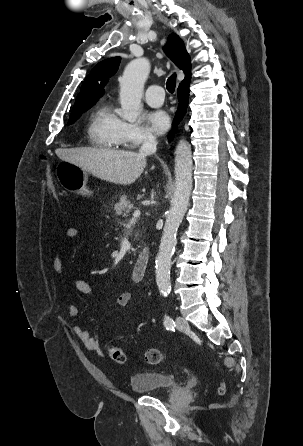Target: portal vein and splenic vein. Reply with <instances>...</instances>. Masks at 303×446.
<instances>
[{
	"label": "portal vein and splenic vein",
	"mask_w": 303,
	"mask_h": 446,
	"mask_svg": "<svg viewBox=\"0 0 303 446\" xmlns=\"http://www.w3.org/2000/svg\"><path fill=\"white\" fill-rule=\"evenodd\" d=\"M139 217H140V210H135L134 213H133V217H132V219L130 220V223H133V222L136 221V219L139 218Z\"/></svg>",
	"instance_id": "18ae733b"
}]
</instances>
